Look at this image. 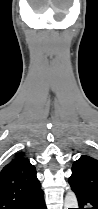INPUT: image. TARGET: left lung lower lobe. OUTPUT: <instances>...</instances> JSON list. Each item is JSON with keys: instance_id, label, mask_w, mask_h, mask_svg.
I'll list each match as a JSON object with an SVG mask.
<instances>
[{"instance_id": "1", "label": "left lung lower lobe", "mask_w": 98, "mask_h": 209, "mask_svg": "<svg viewBox=\"0 0 98 209\" xmlns=\"http://www.w3.org/2000/svg\"><path fill=\"white\" fill-rule=\"evenodd\" d=\"M77 197L79 208L78 209H98V199L81 193L77 192L74 189H72Z\"/></svg>"}]
</instances>
